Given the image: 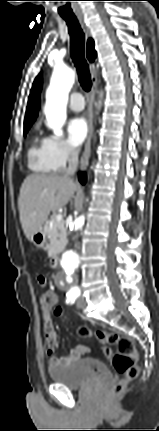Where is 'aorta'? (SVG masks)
<instances>
[{"instance_id":"aorta-1","label":"aorta","mask_w":159,"mask_h":431,"mask_svg":"<svg viewBox=\"0 0 159 431\" xmlns=\"http://www.w3.org/2000/svg\"><path fill=\"white\" fill-rule=\"evenodd\" d=\"M75 81V73L65 66L54 68L49 88L46 92L45 115L48 126L56 136L63 134L62 126L66 120V105L68 94ZM85 223V216L80 215L72 222L70 233L77 234ZM79 254L72 249L66 250L60 261L62 267V278L68 286L75 285V272L80 267Z\"/></svg>"}]
</instances>
